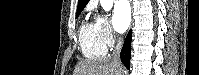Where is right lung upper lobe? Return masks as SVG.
<instances>
[{
    "mask_svg": "<svg viewBox=\"0 0 199 75\" xmlns=\"http://www.w3.org/2000/svg\"><path fill=\"white\" fill-rule=\"evenodd\" d=\"M89 0H79L77 7V14H80Z\"/></svg>",
    "mask_w": 199,
    "mask_h": 75,
    "instance_id": "right-lung-upper-lobe-1",
    "label": "right lung upper lobe"
}]
</instances>
